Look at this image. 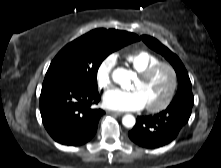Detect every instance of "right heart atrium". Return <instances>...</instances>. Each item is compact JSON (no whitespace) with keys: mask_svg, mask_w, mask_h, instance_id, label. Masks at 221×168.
<instances>
[{"mask_svg":"<svg viewBox=\"0 0 221 168\" xmlns=\"http://www.w3.org/2000/svg\"><path fill=\"white\" fill-rule=\"evenodd\" d=\"M116 66V56L110 54L99 64L96 71L97 85L101 90L110 89L113 86L112 74Z\"/></svg>","mask_w":221,"mask_h":168,"instance_id":"d8ad5b80","label":"right heart atrium"}]
</instances>
